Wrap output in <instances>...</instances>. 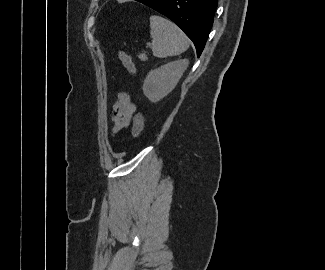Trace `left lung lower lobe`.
<instances>
[{
	"mask_svg": "<svg viewBox=\"0 0 325 270\" xmlns=\"http://www.w3.org/2000/svg\"><path fill=\"white\" fill-rule=\"evenodd\" d=\"M175 22L193 41L197 56L209 36L218 0H136Z\"/></svg>",
	"mask_w": 325,
	"mask_h": 270,
	"instance_id": "obj_1",
	"label": "left lung lower lobe"
}]
</instances>
